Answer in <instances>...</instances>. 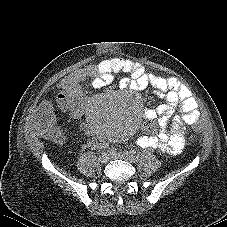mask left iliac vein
Here are the masks:
<instances>
[{
    "instance_id": "4c4485c4",
    "label": "left iliac vein",
    "mask_w": 227,
    "mask_h": 227,
    "mask_svg": "<svg viewBox=\"0 0 227 227\" xmlns=\"http://www.w3.org/2000/svg\"><path fill=\"white\" fill-rule=\"evenodd\" d=\"M115 158L123 159L128 162H133L134 161V156L128 152H118L113 154Z\"/></svg>"
}]
</instances>
